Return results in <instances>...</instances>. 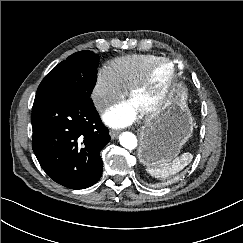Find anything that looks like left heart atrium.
I'll list each match as a JSON object with an SVG mask.
<instances>
[{
	"instance_id": "39dd6f15",
	"label": "left heart atrium",
	"mask_w": 243,
	"mask_h": 243,
	"mask_svg": "<svg viewBox=\"0 0 243 243\" xmlns=\"http://www.w3.org/2000/svg\"><path fill=\"white\" fill-rule=\"evenodd\" d=\"M137 113L138 109L131 102H127L114 106L104 114L103 118L109 126L118 128L131 124Z\"/></svg>"
}]
</instances>
